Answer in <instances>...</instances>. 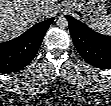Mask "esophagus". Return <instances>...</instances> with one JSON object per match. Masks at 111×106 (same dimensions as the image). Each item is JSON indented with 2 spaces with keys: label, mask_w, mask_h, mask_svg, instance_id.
I'll use <instances>...</instances> for the list:
<instances>
[{
  "label": "esophagus",
  "mask_w": 111,
  "mask_h": 106,
  "mask_svg": "<svg viewBox=\"0 0 111 106\" xmlns=\"http://www.w3.org/2000/svg\"><path fill=\"white\" fill-rule=\"evenodd\" d=\"M59 9H60V12H65V11L69 10V7L66 5H62L61 7H59Z\"/></svg>",
  "instance_id": "obj_1"
}]
</instances>
